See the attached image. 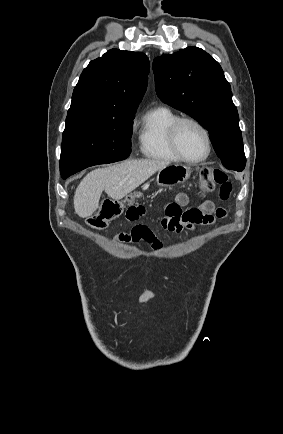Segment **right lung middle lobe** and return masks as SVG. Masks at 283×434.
Segmentation results:
<instances>
[{
	"label": "right lung middle lobe",
	"instance_id": "right-lung-middle-lobe-1",
	"mask_svg": "<svg viewBox=\"0 0 283 434\" xmlns=\"http://www.w3.org/2000/svg\"><path fill=\"white\" fill-rule=\"evenodd\" d=\"M134 117L66 120L60 157L62 178L89 166L126 159L131 151Z\"/></svg>",
	"mask_w": 283,
	"mask_h": 434
}]
</instances>
